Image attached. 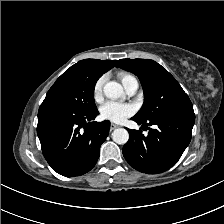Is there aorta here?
<instances>
[{
  "mask_svg": "<svg viewBox=\"0 0 224 224\" xmlns=\"http://www.w3.org/2000/svg\"><path fill=\"white\" fill-rule=\"evenodd\" d=\"M103 92L110 99H118L124 95L122 86L114 81L107 82L103 87ZM112 139L115 143L124 145L129 140V133L124 128H117L112 133Z\"/></svg>",
  "mask_w": 224,
  "mask_h": 224,
  "instance_id": "obj_1",
  "label": "aorta"
}]
</instances>
